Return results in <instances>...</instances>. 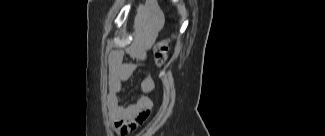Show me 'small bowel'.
<instances>
[{
  "instance_id": "small-bowel-1",
  "label": "small bowel",
  "mask_w": 325,
  "mask_h": 136,
  "mask_svg": "<svg viewBox=\"0 0 325 136\" xmlns=\"http://www.w3.org/2000/svg\"><path fill=\"white\" fill-rule=\"evenodd\" d=\"M158 26L148 35L151 42L156 37ZM125 52L113 51L109 55V88L107 92V107L112 126L117 133L134 131L145 122L151 112L152 100L150 93L154 89V81L150 75H145L140 83L141 95L128 106L120 104V92L123 82L128 79L135 69L134 63L124 62Z\"/></svg>"
}]
</instances>
